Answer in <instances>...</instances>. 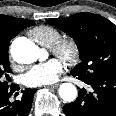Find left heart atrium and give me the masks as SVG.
I'll list each match as a JSON object with an SVG mask.
<instances>
[{"instance_id":"39dd6f15","label":"left heart atrium","mask_w":116,"mask_h":116,"mask_svg":"<svg viewBox=\"0 0 116 116\" xmlns=\"http://www.w3.org/2000/svg\"><path fill=\"white\" fill-rule=\"evenodd\" d=\"M64 67L61 58H51L43 63L32 66L23 76L27 86H41L57 81Z\"/></svg>"}]
</instances>
